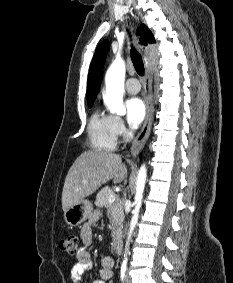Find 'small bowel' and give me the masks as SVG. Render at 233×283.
Masks as SVG:
<instances>
[{
  "mask_svg": "<svg viewBox=\"0 0 233 283\" xmlns=\"http://www.w3.org/2000/svg\"><path fill=\"white\" fill-rule=\"evenodd\" d=\"M99 212H94L81 229L82 247L76 255V263L71 269V280L73 283H81L84 272L92 265L91 255L87 250L93 241L92 225L98 220ZM114 261L111 257H104L101 261L100 277L93 283H107L112 277Z\"/></svg>",
  "mask_w": 233,
  "mask_h": 283,
  "instance_id": "obj_1",
  "label": "small bowel"
}]
</instances>
